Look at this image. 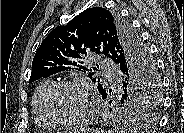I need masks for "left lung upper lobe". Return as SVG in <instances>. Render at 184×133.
<instances>
[{
    "mask_svg": "<svg viewBox=\"0 0 184 133\" xmlns=\"http://www.w3.org/2000/svg\"><path fill=\"white\" fill-rule=\"evenodd\" d=\"M92 52L103 53L121 68V85L109 102L113 108L110 110L123 117L154 118L161 102L156 64L130 24L102 7L86 9L66 26H58L48 34L33 58L29 83L78 68L89 72L101 93L105 89L100 79L92 78L99 66H83L85 56Z\"/></svg>",
    "mask_w": 184,
    "mask_h": 133,
    "instance_id": "left-lung-upper-lobe-1",
    "label": "left lung upper lobe"
}]
</instances>
